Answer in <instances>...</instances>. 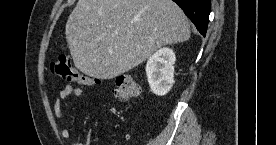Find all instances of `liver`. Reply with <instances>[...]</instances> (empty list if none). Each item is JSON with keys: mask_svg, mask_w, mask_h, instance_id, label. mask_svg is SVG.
I'll return each mask as SVG.
<instances>
[{"mask_svg": "<svg viewBox=\"0 0 276 145\" xmlns=\"http://www.w3.org/2000/svg\"><path fill=\"white\" fill-rule=\"evenodd\" d=\"M77 69L112 79L158 48L190 38V24L172 0H78L65 27Z\"/></svg>", "mask_w": 276, "mask_h": 145, "instance_id": "obj_1", "label": "liver"}]
</instances>
